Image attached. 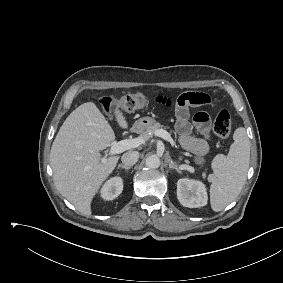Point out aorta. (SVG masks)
Segmentation results:
<instances>
[{
    "label": "aorta",
    "mask_w": 283,
    "mask_h": 283,
    "mask_svg": "<svg viewBox=\"0 0 283 283\" xmlns=\"http://www.w3.org/2000/svg\"><path fill=\"white\" fill-rule=\"evenodd\" d=\"M145 165L148 168L156 169L160 166V159L155 155L149 156L146 158Z\"/></svg>",
    "instance_id": "obj_1"
}]
</instances>
